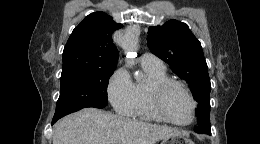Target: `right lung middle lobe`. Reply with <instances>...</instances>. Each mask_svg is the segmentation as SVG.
<instances>
[{
	"instance_id": "dd1d6c3e",
	"label": "right lung middle lobe",
	"mask_w": 260,
	"mask_h": 144,
	"mask_svg": "<svg viewBox=\"0 0 260 144\" xmlns=\"http://www.w3.org/2000/svg\"><path fill=\"white\" fill-rule=\"evenodd\" d=\"M115 68L88 71H62L60 97L53 120L87 107L107 105V85Z\"/></svg>"
}]
</instances>
